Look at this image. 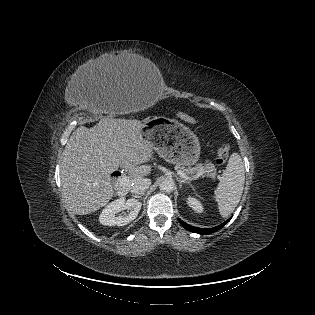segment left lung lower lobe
Masks as SVG:
<instances>
[{"label":"left lung lower lobe","instance_id":"obj_1","mask_svg":"<svg viewBox=\"0 0 315 315\" xmlns=\"http://www.w3.org/2000/svg\"><path fill=\"white\" fill-rule=\"evenodd\" d=\"M230 219H228L227 221H225L224 223L216 226V227H213V228H208V229H203V228H197V227H194V226H191L185 222H183L182 220L179 219V222L182 224V226L191 231V232H195V233H198V234H202V235H206V234H211L213 232H216L218 231L219 229H221Z\"/></svg>","mask_w":315,"mask_h":315}]
</instances>
